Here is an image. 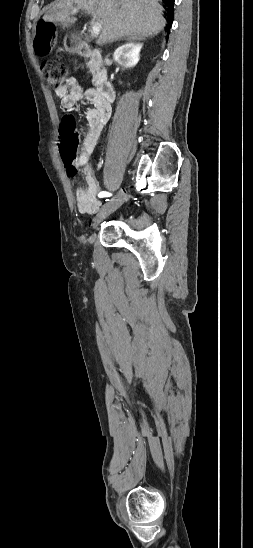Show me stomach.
I'll return each instance as SVG.
<instances>
[{
  "instance_id": "1",
  "label": "stomach",
  "mask_w": 253,
  "mask_h": 548,
  "mask_svg": "<svg viewBox=\"0 0 253 548\" xmlns=\"http://www.w3.org/2000/svg\"><path fill=\"white\" fill-rule=\"evenodd\" d=\"M65 47L68 51H75L77 49L76 47L72 46L70 43L68 44L66 43Z\"/></svg>"
}]
</instances>
